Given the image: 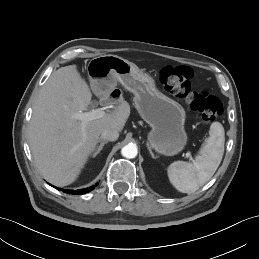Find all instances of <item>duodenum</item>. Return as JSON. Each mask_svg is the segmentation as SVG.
<instances>
[{"mask_svg":"<svg viewBox=\"0 0 259 259\" xmlns=\"http://www.w3.org/2000/svg\"><path fill=\"white\" fill-rule=\"evenodd\" d=\"M120 96L118 89H114L111 93H109L104 99V102L110 103L116 101Z\"/></svg>","mask_w":259,"mask_h":259,"instance_id":"410a0bca","label":"duodenum"}]
</instances>
